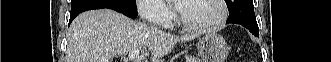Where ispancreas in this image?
<instances>
[{
  "label": "pancreas",
  "mask_w": 331,
  "mask_h": 62,
  "mask_svg": "<svg viewBox=\"0 0 331 62\" xmlns=\"http://www.w3.org/2000/svg\"><path fill=\"white\" fill-rule=\"evenodd\" d=\"M186 62H201V60H199V58H195L194 56L186 55Z\"/></svg>",
  "instance_id": "1"
}]
</instances>
